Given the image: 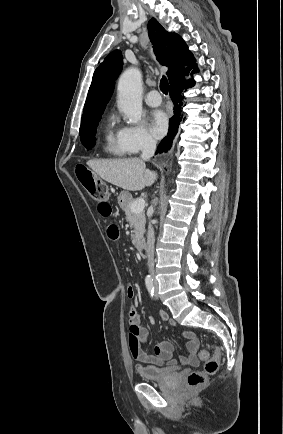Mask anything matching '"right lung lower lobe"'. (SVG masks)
Returning a JSON list of instances; mask_svg holds the SVG:
<instances>
[{"label":"right lung lower lobe","instance_id":"1","mask_svg":"<svg viewBox=\"0 0 283 434\" xmlns=\"http://www.w3.org/2000/svg\"><path fill=\"white\" fill-rule=\"evenodd\" d=\"M194 82H187V81H177L170 84V96L172 98V101L174 103V116L170 118L169 120V130L167 136L160 142L157 148V152H163L167 151L171 148L173 138L178 132L179 124L182 120L181 115V107L183 104V98L181 95V92L184 89L190 88L194 86Z\"/></svg>","mask_w":283,"mask_h":434}]
</instances>
